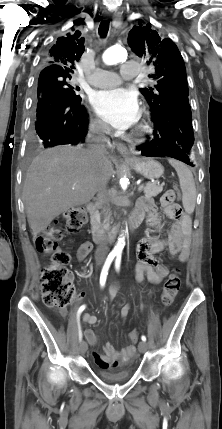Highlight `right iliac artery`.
Returning <instances> with one entry per match:
<instances>
[{
  "mask_svg": "<svg viewBox=\"0 0 222 429\" xmlns=\"http://www.w3.org/2000/svg\"><path fill=\"white\" fill-rule=\"evenodd\" d=\"M114 258H115V254H109L108 257H107V259H106V261H105V264H104V266L102 268V271H101V274H100V285H101V287H103L105 285L106 278H107V275H108V270H109L110 265H111V263H112V261H113ZM85 308H86V306L82 305L79 308L78 313H77L78 327H79V340L80 341L82 339V331H81V327H80V324H79V317H80V314L84 311Z\"/></svg>",
  "mask_w": 222,
  "mask_h": 429,
  "instance_id": "obj_1",
  "label": "right iliac artery"
}]
</instances>
